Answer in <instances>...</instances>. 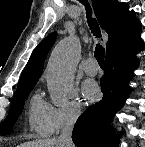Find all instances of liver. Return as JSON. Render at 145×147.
<instances>
[{"label":"liver","mask_w":145,"mask_h":147,"mask_svg":"<svg viewBox=\"0 0 145 147\" xmlns=\"http://www.w3.org/2000/svg\"><path fill=\"white\" fill-rule=\"evenodd\" d=\"M18 147H61L58 139L36 140L20 144Z\"/></svg>","instance_id":"obj_1"}]
</instances>
